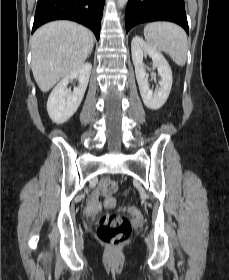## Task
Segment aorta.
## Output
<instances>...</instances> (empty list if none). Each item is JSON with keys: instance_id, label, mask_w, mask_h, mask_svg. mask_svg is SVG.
<instances>
[{"instance_id": "762f6f07", "label": "aorta", "mask_w": 229, "mask_h": 280, "mask_svg": "<svg viewBox=\"0 0 229 280\" xmlns=\"http://www.w3.org/2000/svg\"><path fill=\"white\" fill-rule=\"evenodd\" d=\"M127 1L128 0H117L118 7L123 8L126 5Z\"/></svg>"}]
</instances>
